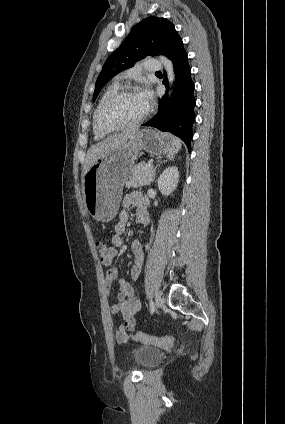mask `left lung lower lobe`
<instances>
[{"label": "left lung lower lobe", "instance_id": "1", "mask_svg": "<svg viewBox=\"0 0 285 424\" xmlns=\"http://www.w3.org/2000/svg\"><path fill=\"white\" fill-rule=\"evenodd\" d=\"M168 57L173 62L175 72L172 96L168 98V93H166L159 100L157 114L142 126L155 127L178 136L191 152L190 141L193 137L192 125L195 121L194 107L196 100L194 98V83L191 79V68L181 38L176 40ZM163 83L167 84V79Z\"/></svg>", "mask_w": 285, "mask_h": 424}]
</instances>
